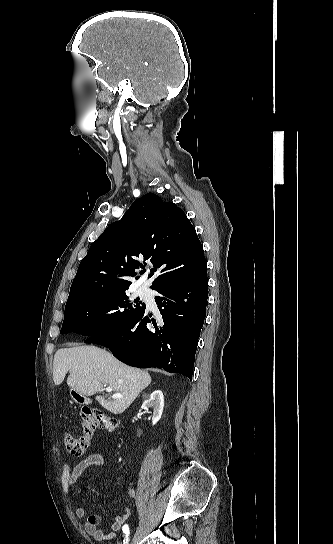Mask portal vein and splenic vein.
I'll return each mask as SVG.
<instances>
[{"instance_id":"obj_1","label":"portal vein and splenic vein","mask_w":333,"mask_h":544,"mask_svg":"<svg viewBox=\"0 0 333 544\" xmlns=\"http://www.w3.org/2000/svg\"><path fill=\"white\" fill-rule=\"evenodd\" d=\"M106 391H107V392H111V391H112V388L108 386V387H106ZM114 396H115V397H118V398H121V397H122V395H118V394H115Z\"/></svg>"}]
</instances>
